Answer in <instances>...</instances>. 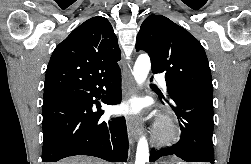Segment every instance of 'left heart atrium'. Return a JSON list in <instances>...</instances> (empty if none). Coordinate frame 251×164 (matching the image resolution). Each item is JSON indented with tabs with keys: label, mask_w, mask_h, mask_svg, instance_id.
<instances>
[{
	"label": "left heart atrium",
	"mask_w": 251,
	"mask_h": 164,
	"mask_svg": "<svg viewBox=\"0 0 251 164\" xmlns=\"http://www.w3.org/2000/svg\"><path fill=\"white\" fill-rule=\"evenodd\" d=\"M118 109L126 114H135L141 109V103L138 100H128L122 103Z\"/></svg>",
	"instance_id": "left-heart-atrium-1"
}]
</instances>
